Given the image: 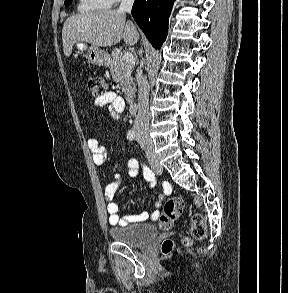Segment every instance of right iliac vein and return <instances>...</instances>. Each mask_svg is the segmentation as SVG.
<instances>
[{"label": "right iliac vein", "mask_w": 288, "mask_h": 293, "mask_svg": "<svg viewBox=\"0 0 288 293\" xmlns=\"http://www.w3.org/2000/svg\"><path fill=\"white\" fill-rule=\"evenodd\" d=\"M143 144V147L146 151V153L148 154L150 160H151V163L153 164L154 166V169L157 173H162V167L161 165L158 163V160L154 154V150H153V145L151 143V141L149 140H144L142 142Z\"/></svg>", "instance_id": "63e3f726"}]
</instances>
